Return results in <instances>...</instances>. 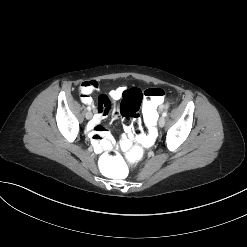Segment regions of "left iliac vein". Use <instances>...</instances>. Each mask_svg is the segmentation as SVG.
<instances>
[{
  "mask_svg": "<svg viewBox=\"0 0 247 247\" xmlns=\"http://www.w3.org/2000/svg\"><path fill=\"white\" fill-rule=\"evenodd\" d=\"M158 125H159L160 127H163V126L165 125V118H164V117H161V118L159 119Z\"/></svg>",
  "mask_w": 247,
  "mask_h": 247,
  "instance_id": "1",
  "label": "left iliac vein"
}]
</instances>
